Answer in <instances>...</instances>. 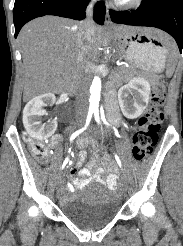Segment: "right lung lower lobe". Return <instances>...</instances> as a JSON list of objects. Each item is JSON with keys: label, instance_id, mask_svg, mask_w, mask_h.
<instances>
[{"label": "right lung lower lobe", "instance_id": "right-lung-lower-lobe-1", "mask_svg": "<svg viewBox=\"0 0 183 246\" xmlns=\"http://www.w3.org/2000/svg\"><path fill=\"white\" fill-rule=\"evenodd\" d=\"M90 0H15L13 17L15 37L28 21L44 15H56L75 20L85 18V9ZM105 5L97 2L94 7V21L100 25L105 20Z\"/></svg>", "mask_w": 183, "mask_h": 246}]
</instances>
